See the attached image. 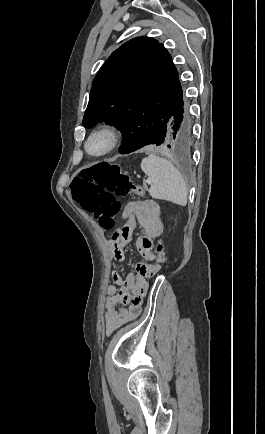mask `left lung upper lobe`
<instances>
[{
	"label": "left lung upper lobe",
	"instance_id": "obj_1",
	"mask_svg": "<svg viewBox=\"0 0 265 434\" xmlns=\"http://www.w3.org/2000/svg\"><path fill=\"white\" fill-rule=\"evenodd\" d=\"M182 94L178 72L166 48L136 37L114 51L93 80L83 125L106 122L123 138L162 123Z\"/></svg>",
	"mask_w": 265,
	"mask_h": 434
}]
</instances>
